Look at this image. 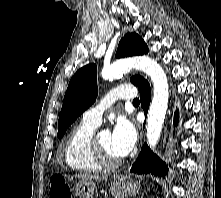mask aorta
<instances>
[{"label": "aorta", "instance_id": "762f6f07", "mask_svg": "<svg viewBox=\"0 0 221 198\" xmlns=\"http://www.w3.org/2000/svg\"><path fill=\"white\" fill-rule=\"evenodd\" d=\"M132 68L146 73L154 85V94L147 116V142L151 148H154L160 138L169 99L168 80L162 67L147 56H139L119 60L104 67L101 76L105 80H113Z\"/></svg>", "mask_w": 221, "mask_h": 198}]
</instances>
